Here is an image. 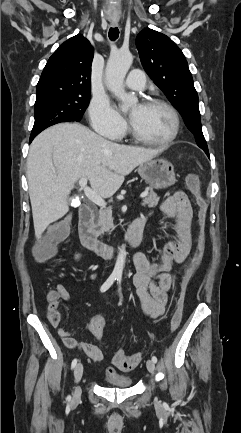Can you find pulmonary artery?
Returning <instances> with one entry per match:
<instances>
[{
  "label": "pulmonary artery",
  "mask_w": 241,
  "mask_h": 433,
  "mask_svg": "<svg viewBox=\"0 0 241 433\" xmlns=\"http://www.w3.org/2000/svg\"><path fill=\"white\" fill-rule=\"evenodd\" d=\"M126 85L131 90H143L146 85V77L144 73L137 69L132 70L126 79Z\"/></svg>",
  "instance_id": "e3ab8cb5"
}]
</instances>
